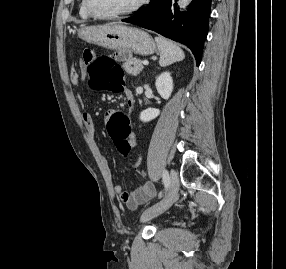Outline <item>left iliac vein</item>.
Instances as JSON below:
<instances>
[{
  "label": "left iliac vein",
  "instance_id": "4c4485c4",
  "mask_svg": "<svg viewBox=\"0 0 286 269\" xmlns=\"http://www.w3.org/2000/svg\"><path fill=\"white\" fill-rule=\"evenodd\" d=\"M178 191H179L178 175L175 170H171L169 191L167 195L159 203L155 204L154 206L144 211V213L141 216V220L143 222H146L164 213L174 203Z\"/></svg>",
  "mask_w": 286,
  "mask_h": 269
}]
</instances>
